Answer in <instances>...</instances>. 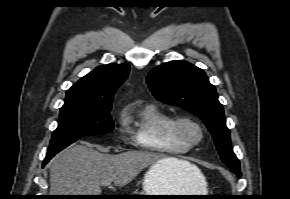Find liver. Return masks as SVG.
<instances>
[{
    "label": "liver",
    "instance_id": "liver-1",
    "mask_svg": "<svg viewBox=\"0 0 290 199\" xmlns=\"http://www.w3.org/2000/svg\"><path fill=\"white\" fill-rule=\"evenodd\" d=\"M161 163L171 174L187 183L200 173L196 165L153 152L128 151L103 154L91 146L77 144L56 155L50 164V195H100V186L113 181L115 186L129 184L143 169ZM187 186L179 191H186Z\"/></svg>",
    "mask_w": 290,
    "mask_h": 199
}]
</instances>
